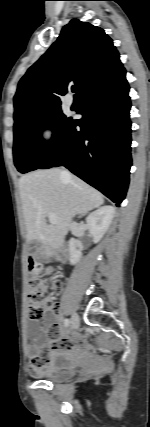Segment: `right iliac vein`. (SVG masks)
<instances>
[{
  "instance_id": "right-iliac-vein-1",
  "label": "right iliac vein",
  "mask_w": 150,
  "mask_h": 427,
  "mask_svg": "<svg viewBox=\"0 0 150 427\" xmlns=\"http://www.w3.org/2000/svg\"><path fill=\"white\" fill-rule=\"evenodd\" d=\"M79 324H80L79 316L76 313H73L71 317V328L77 329L79 327Z\"/></svg>"
}]
</instances>
